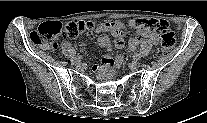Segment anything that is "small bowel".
<instances>
[{"label":"small bowel","mask_w":207,"mask_h":123,"mask_svg":"<svg viewBox=\"0 0 207 123\" xmlns=\"http://www.w3.org/2000/svg\"><path fill=\"white\" fill-rule=\"evenodd\" d=\"M98 33L110 32L114 37L115 45L118 48H122L125 45L124 35L128 32L125 26L121 22L106 21L98 24L95 28ZM147 41L150 44H158L159 36L149 29H138L137 35L132 37L127 42V47L131 50L135 49L141 42ZM98 44L108 50L111 49V41L107 35H101L98 38ZM103 61L105 63H111L113 60L110 56H105Z\"/></svg>","instance_id":"c3829d8e"}]
</instances>
